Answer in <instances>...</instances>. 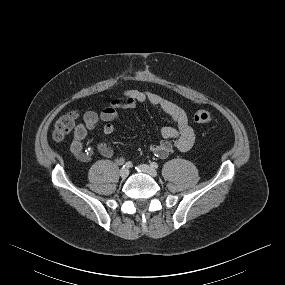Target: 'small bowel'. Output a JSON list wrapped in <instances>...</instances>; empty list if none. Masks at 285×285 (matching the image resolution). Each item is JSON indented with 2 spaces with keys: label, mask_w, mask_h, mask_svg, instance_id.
Segmentation results:
<instances>
[{
  "label": "small bowel",
  "mask_w": 285,
  "mask_h": 285,
  "mask_svg": "<svg viewBox=\"0 0 285 285\" xmlns=\"http://www.w3.org/2000/svg\"><path fill=\"white\" fill-rule=\"evenodd\" d=\"M149 102L166 113L174 126H165L160 130L162 140L150 146L151 152L158 157H167L174 149L186 152L192 148L195 142V131L189 124L186 111L178 104L150 91L128 89L114 98L110 105L101 112L93 110L85 112L83 122L78 124L73 133L70 145L71 153L81 162L88 163L93 159L94 151L86 148L83 140L92 133L99 121L105 122L103 133L107 136L114 133L113 121L118 119V109H132L139 103ZM99 154L113 159L116 164H122L124 158L115 155L111 146L104 142L96 145Z\"/></svg>",
  "instance_id": "obj_1"
}]
</instances>
